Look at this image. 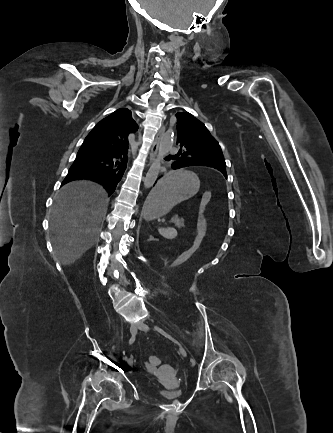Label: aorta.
Segmentation results:
<instances>
[{"instance_id": "aorta-1", "label": "aorta", "mask_w": 333, "mask_h": 433, "mask_svg": "<svg viewBox=\"0 0 333 433\" xmlns=\"http://www.w3.org/2000/svg\"><path fill=\"white\" fill-rule=\"evenodd\" d=\"M173 144V138L170 134H163L160 140L158 154L154 159L152 165L149 168V171L144 179V187L150 188L156 181L159 170L161 167V163L167 153L170 151Z\"/></svg>"}]
</instances>
